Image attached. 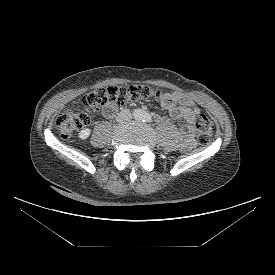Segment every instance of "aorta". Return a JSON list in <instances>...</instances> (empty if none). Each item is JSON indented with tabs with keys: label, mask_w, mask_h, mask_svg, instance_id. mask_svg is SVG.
<instances>
[{
	"label": "aorta",
	"mask_w": 275,
	"mask_h": 275,
	"mask_svg": "<svg viewBox=\"0 0 275 275\" xmlns=\"http://www.w3.org/2000/svg\"><path fill=\"white\" fill-rule=\"evenodd\" d=\"M143 111L141 109H137L134 111L135 118H142Z\"/></svg>",
	"instance_id": "obj_1"
}]
</instances>
